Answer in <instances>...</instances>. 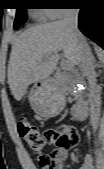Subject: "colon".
Returning a JSON list of instances; mask_svg holds the SVG:
<instances>
[{
	"instance_id": "colon-1",
	"label": "colon",
	"mask_w": 104,
	"mask_h": 169,
	"mask_svg": "<svg viewBox=\"0 0 104 169\" xmlns=\"http://www.w3.org/2000/svg\"><path fill=\"white\" fill-rule=\"evenodd\" d=\"M18 133L30 150L38 154L37 163L43 167H51L53 158L44 152L49 145L56 143L62 147H73L79 141L78 132L68 126L49 128L41 131L36 125L27 120L18 124Z\"/></svg>"
}]
</instances>
